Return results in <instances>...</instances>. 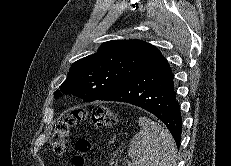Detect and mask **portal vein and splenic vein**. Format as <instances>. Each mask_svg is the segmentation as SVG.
<instances>
[{
	"label": "portal vein and splenic vein",
	"mask_w": 231,
	"mask_h": 166,
	"mask_svg": "<svg viewBox=\"0 0 231 166\" xmlns=\"http://www.w3.org/2000/svg\"><path fill=\"white\" fill-rule=\"evenodd\" d=\"M128 166H131V163H130V162L128 163Z\"/></svg>",
	"instance_id": "portal-vein-and-splenic-vein-1"
}]
</instances>
